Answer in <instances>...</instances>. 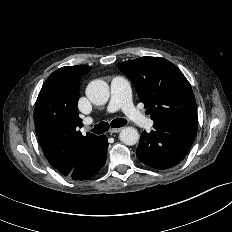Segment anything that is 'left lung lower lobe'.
Returning a JSON list of instances; mask_svg holds the SVG:
<instances>
[{
    "label": "left lung lower lobe",
    "mask_w": 232,
    "mask_h": 232,
    "mask_svg": "<svg viewBox=\"0 0 232 232\" xmlns=\"http://www.w3.org/2000/svg\"><path fill=\"white\" fill-rule=\"evenodd\" d=\"M150 133L142 132L136 149L137 158L147 166L165 170L176 166L188 153L197 126L154 123Z\"/></svg>",
    "instance_id": "left-lung-lower-lobe-1"
}]
</instances>
